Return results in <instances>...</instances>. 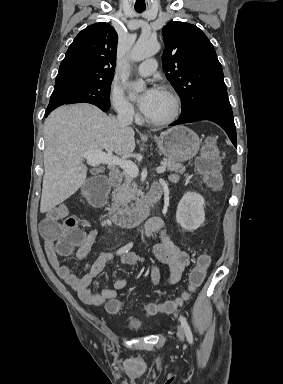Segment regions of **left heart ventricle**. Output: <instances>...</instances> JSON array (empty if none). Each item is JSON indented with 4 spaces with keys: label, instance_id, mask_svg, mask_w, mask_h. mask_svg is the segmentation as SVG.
I'll list each match as a JSON object with an SVG mask.
<instances>
[{
    "label": "left heart ventricle",
    "instance_id": "b2bd125f",
    "mask_svg": "<svg viewBox=\"0 0 283 384\" xmlns=\"http://www.w3.org/2000/svg\"><path fill=\"white\" fill-rule=\"evenodd\" d=\"M171 111V103L167 95L161 91V94L150 112L144 114V117L150 120L163 119L170 114Z\"/></svg>",
    "mask_w": 283,
    "mask_h": 384
}]
</instances>
